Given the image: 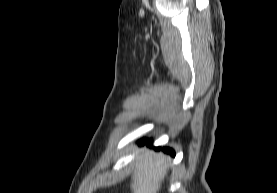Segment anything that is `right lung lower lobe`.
I'll list each match as a JSON object with an SVG mask.
<instances>
[{
	"label": "right lung lower lobe",
	"instance_id": "obj_1",
	"mask_svg": "<svg viewBox=\"0 0 277 193\" xmlns=\"http://www.w3.org/2000/svg\"><path fill=\"white\" fill-rule=\"evenodd\" d=\"M147 143L148 145H152V140L142 139L139 141V144ZM160 149V148H159ZM163 150L171 155H175V152L170 148H163Z\"/></svg>",
	"mask_w": 277,
	"mask_h": 193
}]
</instances>
